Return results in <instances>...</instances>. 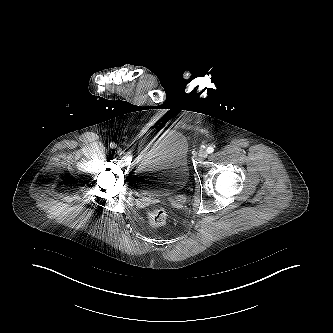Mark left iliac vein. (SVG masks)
Segmentation results:
<instances>
[{
    "instance_id": "1",
    "label": "left iliac vein",
    "mask_w": 333,
    "mask_h": 333,
    "mask_svg": "<svg viewBox=\"0 0 333 333\" xmlns=\"http://www.w3.org/2000/svg\"><path fill=\"white\" fill-rule=\"evenodd\" d=\"M207 155H208V152H207L206 150H204V149H201V150H199V152H198V156H199V158H201V159L206 158Z\"/></svg>"
}]
</instances>
